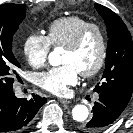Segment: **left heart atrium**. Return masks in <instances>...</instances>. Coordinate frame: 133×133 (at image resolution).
<instances>
[{"label": "left heart atrium", "instance_id": "1", "mask_svg": "<svg viewBox=\"0 0 133 133\" xmlns=\"http://www.w3.org/2000/svg\"><path fill=\"white\" fill-rule=\"evenodd\" d=\"M78 76L79 71L77 68L67 63L37 74L36 83L42 89L61 96L68 92L69 86L77 83Z\"/></svg>", "mask_w": 133, "mask_h": 133}]
</instances>
